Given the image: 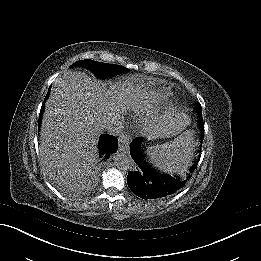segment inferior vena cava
<instances>
[{"label":"inferior vena cava","mask_w":261,"mask_h":261,"mask_svg":"<svg viewBox=\"0 0 261 261\" xmlns=\"http://www.w3.org/2000/svg\"><path fill=\"white\" fill-rule=\"evenodd\" d=\"M123 123L120 118H112L105 122L104 130L114 136H118L123 132Z\"/></svg>","instance_id":"inferior-vena-cava-1"}]
</instances>
